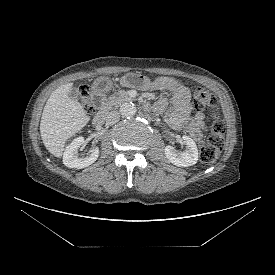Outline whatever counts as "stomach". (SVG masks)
<instances>
[{"label":"stomach","mask_w":275,"mask_h":275,"mask_svg":"<svg viewBox=\"0 0 275 275\" xmlns=\"http://www.w3.org/2000/svg\"><path fill=\"white\" fill-rule=\"evenodd\" d=\"M92 88L94 94H104L112 88V82L107 77H99L93 82Z\"/></svg>","instance_id":"stomach-1"}]
</instances>
